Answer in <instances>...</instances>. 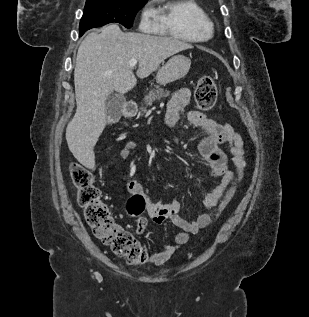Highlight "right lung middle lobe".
Listing matches in <instances>:
<instances>
[{
  "label": "right lung middle lobe",
  "mask_w": 309,
  "mask_h": 317,
  "mask_svg": "<svg viewBox=\"0 0 309 317\" xmlns=\"http://www.w3.org/2000/svg\"><path fill=\"white\" fill-rule=\"evenodd\" d=\"M148 0H87L80 21V32L108 23H120L131 28L133 20Z\"/></svg>",
  "instance_id": "obj_1"
}]
</instances>
